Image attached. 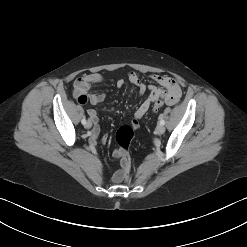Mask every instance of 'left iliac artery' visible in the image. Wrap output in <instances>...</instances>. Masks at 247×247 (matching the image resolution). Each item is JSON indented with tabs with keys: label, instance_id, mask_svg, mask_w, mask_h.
<instances>
[{
	"label": "left iliac artery",
	"instance_id": "left-iliac-artery-1",
	"mask_svg": "<svg viewBox=\"0 0 247 247\" xmlns=\"http://www.w3.org/2000/svg\"><path fill=\"white\" fill-rule=\"evenodd\" d=\"M159 119H160V124L164 125V124H165V121H164V119L162 118V116H160Z\"/></svg>",
	"mask_w": 247,
	"mask_h": 247
}]
</instances>
